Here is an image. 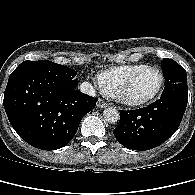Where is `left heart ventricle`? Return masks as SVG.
<instances>
[{
	"mask_svg": "<svg viewBox=\"0 0 195 195\" xmlns=\"http://www.w3.org/2000/svg\"><path fill=\"white\" fill-rule=\"evenodd\" d=\"M159 75L156 71L145 70L132 82L128 96L133 99H142L155 92L159 85Z\"/></svg>",
	"mask_w": 195,
	"mask_h": 195,
	"instance_id": "left-heart-ventricle-1",
	"label": "left heart ventricle"
}]
</instances>
